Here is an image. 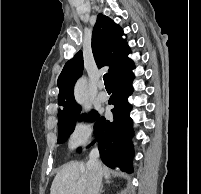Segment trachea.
I'll return each instance as SVG.
<instances>
[{
	"label": "trachea",
	"instance_id": "trachea-1",
	"mask_svg": "<svg viewBox=\"0 0 201 194\" xmlns=\"http://www.w3.org/2000/svg\"><path fill=\"white\" fill-rule=\"evenodd\" d=\"M103 80H104L105 88H106V89H111L110 76H109L108 73H106V74L103 76Z\"/></svg>",
	"mask_w": 201,
	"mask_h": 194
}]
</instances>
